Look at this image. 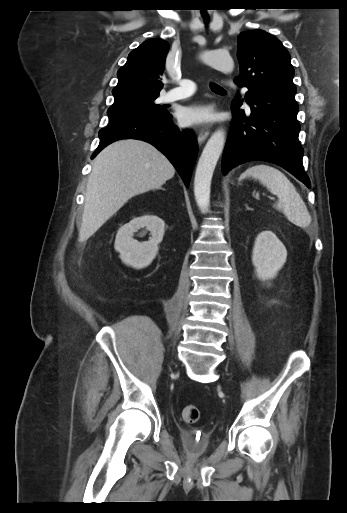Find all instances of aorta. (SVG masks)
<instances>
[{
  "mask_svg": "<svg viewBox=\"0 0 347 513\" xmlns=\"http://www.w3.org/2000/svg\"><path fill=\"white\" fill-rule=\"evenodd\" d=\"M201 59L207 65L224 73H230L234 69V61L226 51H207L201 55ZM224 144L225 132L218 129L208 139L198 161L194 178V196L202 212L209 209L211 180Z\"/></svg>",
  "mask_w": 347,
  "mask_h": 513,
  "instance_id": "obj_1",
  "label": "aorta"
}]
</instances>
